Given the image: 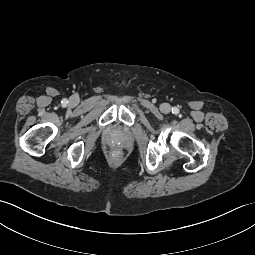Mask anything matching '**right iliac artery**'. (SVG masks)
Wrapping results in <instances>:
<instances>
[{
	"mask_svg": "<svg viewBox=\"0 0 255 255\" xmlns=\"http://www.w3.org/2000/svg\"><path fill=\"white\" fill-rule=\"evenodd\" d=\"M68 101L66 99L63 100V103H67Z\"/></svg>",
	"mask_w": 255,
	"mask_h": 255,
	"instance_id": "1",
	"label": "right iliac artery"
}]
</instances>
